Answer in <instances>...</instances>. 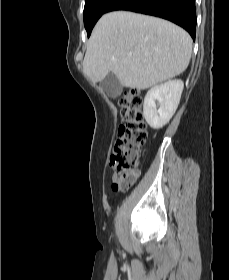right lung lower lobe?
<instances>
[{
    "label": "right lung lower lobe",
    "mask_w": 229,
    "mask_h": 280,
    "mask_svg": "<svg viewBox=\"0 0 229 280\" xmlns=\"http://www.w3.org/2000/svg\"><path fill=\"white\" fill-rule=\"evenodd\" d=\"M128 10L167 19L196 35L195 0H114L106 12Z\"/></svg>",
    "instance_id": "1"
}]
</instances>
